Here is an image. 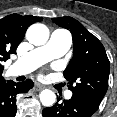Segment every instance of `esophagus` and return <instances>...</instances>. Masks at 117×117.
<instances>
[{
    "label": "esophagus",
    "mask_w": 117,
    "mask_h": 117,
    "mask_svg": "<svg viewBox=\"0 0 117 117\" xmlns=\"http://www.w3.org/2000/svg\"><path fill=\"white\" fill-rule=\"evenodd\" d=\"M42 89H44V87L42 85H40V84H36L34 86V90H36V91H41Z\"/></svg>",
    "instance_id": "34e87169"
}]
</instances>
